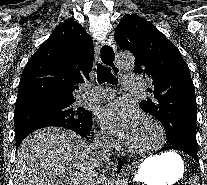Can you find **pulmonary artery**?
I'll return each mask as SVG.
<instances>
[{
  "mask_svg": "<svg viewBox=\"0 0 207 185\" xmlns=\"http://www.w3.org/2000/svg\"><path fill=\"white\" fill-rule=\"evenodd\" d=\"M121 82H125L126 91H139L140 82L138 77H121ZM115 96V91L113 89L106 90H92L85 93L83 99L87 103H103Z\"/></svg>",
  "mask_w": 207,
  "mask_h": 185,
  "instance_id": "1",
  "label": "pulmonary artery"
}]
</instances>
